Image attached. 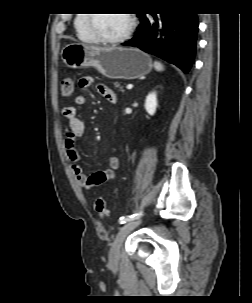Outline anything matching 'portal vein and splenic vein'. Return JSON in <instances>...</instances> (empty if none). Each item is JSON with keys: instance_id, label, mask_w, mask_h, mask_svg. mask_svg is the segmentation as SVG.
<instances>
[{"instance_id": "obj_1", "label": "portal vein and splenic vein", "mask_w": 252, "mask_h": 303, "mask_svg": "<svg viewBox=\"0 0 252 303\" xmlns=\"http://www.w3.org/2000/svg\"><path fill=\"white\" fill-rule=\"evenodd\" d=\"M128 90H130V89H132L133 88V85H131V84H129V85H127V87H126Z\"/></svg>"}]
</instances>
